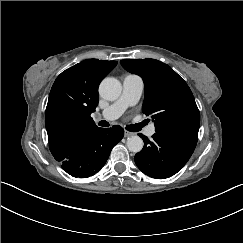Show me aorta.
<instances>
[{"instance_id":"aorta-1","label":"aorta","mask_w":243,"mask_h":243,"mask_svg":"<svg viewBox=\"0 0 243 243\" xmlns=\"http://www.w3.org/2000/svg\"><path fill=\"white\" fill-rule=\"evenodd\" d=\"M121 91V83L112 77L105 78L99 86V95L109 101L118 99ZM126 145L129 151L137 153L142 150L144 143L139 136L133 135L127 138Z\"/></svg>"}]
</instances>
